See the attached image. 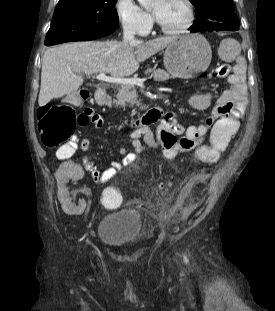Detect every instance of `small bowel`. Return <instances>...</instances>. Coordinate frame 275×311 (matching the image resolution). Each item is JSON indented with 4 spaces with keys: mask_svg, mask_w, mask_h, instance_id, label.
I'll use <instances>...</instances> for the list:
<instances>
[{
    "mask_svg": "<svg viewBox=\"0 0 275 311\" xmlns=\"http://www.w3.org/2000/svg\"><path fill=\"white\" fill-rule=\"evenodd\" d=\"M218 50L219 57H233L234 60L232 73L228 78L229 88L215 98L209 93H198L190 99L192 109L196 111L209 110L205 120L198 124L183 126L177 121L173 112L156 109V112L149 113L145 125L137 126L130 133L129 143L135 153H127L126 147L120 146L118 153L122 158L112 161L111 166L102 173L96 169L90 157H83V168L92 175L99 185L107 183L118 170L133 163L136 154L143 153L147 147L160 149L164 157L173 158L182 151L193 149L197 143H201L215 127L217 118L240 119L247 102L246 63L241 55L239 43L233 39L222 41ZM87 111L92 114L90 123L95 128H101L103 118L93 110L87 109ZM81 145L83 150H87L89 141L84 139ZM58 158L66 159L59 156ZM60 164L62 169L55 171L61 193L57 197L58 201H61L58 212L66 213V216H83L86 201L82 198L73 200V195L76 197L81 194L82 188L72 187V185L74 180H81L85 171L81 169L79 160H62Z\"/></svg>",
    "mask_w": 275,
    "mask_h": 311,
    "instance_id": "c3829d8e",
    "label": "small bowel"
}]
</instances>
